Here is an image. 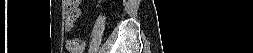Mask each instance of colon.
Returning <instances> with one entry per match:
<instances>
[{
  "label": "colon",
  "instance_id": "obj_1",
  "mask_svg": "<svg viewBox=\"0 0 253 53\" xmlns=\"http://www.w3.org/2000/svg\"><path fill=\"white\" fill-rule=\"evenodd\" d=\"M69 4H73L75 3L76 1H73V0H70V1H67ZM78 14H79V10H78V7L76 6H69L68 7V19L71 21V22H74L77 17H78Z\"/></svg>",
  "mask_w": 253,
  "mask_h": 53
}]
</instances>
